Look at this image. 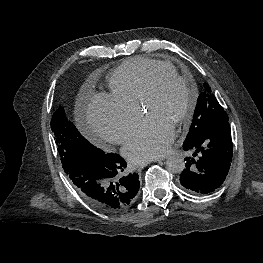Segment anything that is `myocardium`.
Segmentation results:
<instances>
[{
    "instance_id": "f54148a6",
    "label": "myocardium",
    "mask_w": 263,
    "mask_h": 263,
    "mask_svg": "<svg viewBox=\"0 0 263 263\" xmlns=\"http://www.w3.org/2000/svg\"><path fill=\"white\" fill-rule=\"evenodd\" d=\"M170 79L183 83L189 93L188 106L175 124L176 129H181L189 123L194 115L198 103V90L186 76L179 74L177 71H164L156 73L146 87L140 100L139 107L143 111L145 106L156 96L161 84Z\"/></svg>"
}]
</instances>
